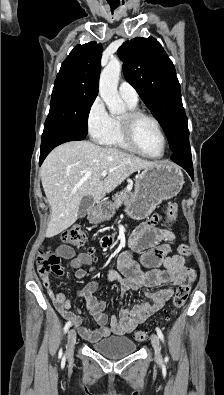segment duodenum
I'll return each instance as SVG.
<instances>
[{
    "mask_svg": "<svg viewBox=\"0 0 224 395\" xmlns=\"http://www.w3.org/2000/svg\"><path fill=\"white\" fill-rule=\"evenodd\" d=\"M96 205H98V203H96ZM112 243H113V239L109 236H106L102 239L103 247H109L112 245Z\"/></svg>",
    "mask_w": 224,
    "mask_h": 395,
    "instance_id": "1",
    "label": "duodenum"
}]
</instances>
